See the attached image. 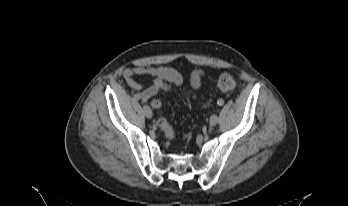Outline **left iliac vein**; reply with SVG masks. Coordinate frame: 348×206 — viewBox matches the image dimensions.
<instances>
[{
	"instance_id": "left-iliac-vein-1",
	"label": "left iliac vein",
	"mask_w": 348,
	"mask_h": 206,
	"mask_svg": "<svg viewBox=\"0 0 348 206\" xmlns=\"http://www.w3.org/2000/svg\"><path fill=\"white\" fill-rule=\"evenodd\" d=\"M217 122H218V116L216 114H213L209 120L210 126H215Z\"/></svg>"
}]
</instances>
